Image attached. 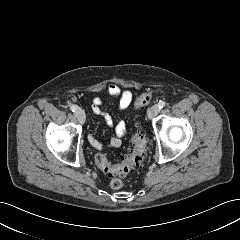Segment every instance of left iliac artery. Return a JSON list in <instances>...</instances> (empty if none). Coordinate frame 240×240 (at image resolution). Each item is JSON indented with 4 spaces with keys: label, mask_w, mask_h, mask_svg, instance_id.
I'll list each match as a JSON object with an SVG mask.
<instances>
[{
    "label": "left iliac artery",
    "mask_w": 240,
    "mask_h": 240,
    "mask_svg": "<svg viewBox=\"0 0 240 240\" xmlns=\"http://www.w3.org/2000/svg\"><path fill=\"white\" fill-rule=\"evenodd\" d=\"M165 105H166V102H165V101H160V102L158 103L159 109L165 107Z\"/></svg>",
    "instance_id": "44dca946"
}]
</instances>
